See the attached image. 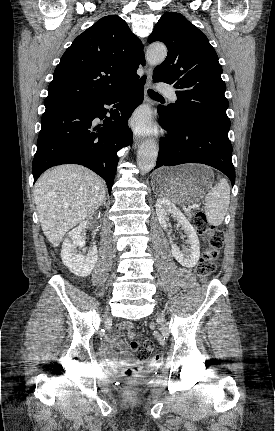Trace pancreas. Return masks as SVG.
<instances>
[{"mask_svg":"<svg viewBox=\"0 0 275 431\" xmlns=\"http://www.w3.org/2000/svg\"><path fill=\"white\" fill-rule=\"evenodd\" d=\"M187 216L190 219L193 215L191 213H187Z\"/></svg>","mask_w":275,"mask_h":431,"instance_id":"obj_1","label":"pancreas"}]
</instances>
